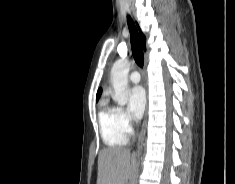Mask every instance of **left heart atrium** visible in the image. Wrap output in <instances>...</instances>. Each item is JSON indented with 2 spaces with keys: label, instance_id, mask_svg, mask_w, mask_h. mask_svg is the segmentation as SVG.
<instances>
[{
  "label": "left heart atrium",
  "instance_id": "39dd6f15",
  "mask_svg": "<svg viewBox=\"0 0 235 184\" xmlns=\"http://www.w3.org/2000/svg\"><path fill=\"white\" fill-rule=\"evenodd\" d=\"M146 94L143 88L134 87L129 94V111L134 118H140L145 110Z\"/></svg>",
  "mask_w": 235,
  "mask_h": 184
}]
</instances>
